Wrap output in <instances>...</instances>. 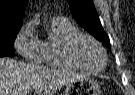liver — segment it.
Here are the masks:
<instances>
[{
  "mask_svg": "<svg viewBox=\"0 0 135 95\" xmlns=\"http://www.w3.org/2000/svg\"><path fill=\"white\" fill-rule=\"evenodd\" d=\"M65 70H52L38 64H24L0 58V95H53L57 89L83 78Z\"/></svg>",
  "mask_w": 135,
  "mask_h": 95,
  "instance_id": "6515ba94",
  "label": "liver"
}]
</instances>
